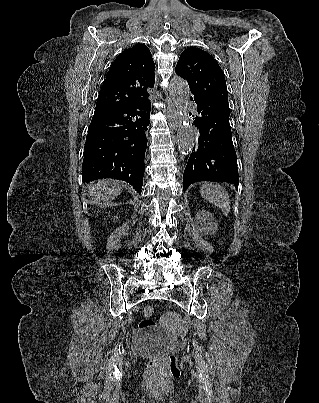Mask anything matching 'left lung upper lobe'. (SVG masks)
<instances>
[{"label": "left lung upper lobe", "instance_id": "1", "mask_svg": "<svg viewBox=\"0 0 319 403\" xmlns=\"http://www.w3.org/2000/svg\"><path fill=\"white\" fill-rule=\"evenodd\" d=\"M175 72L187 80L193 95L228 100L224 74L217 61L209 53L196 47L184 50Z\"/></svg>", "mask_w": 319, "mask_h": 403}]
</instances>
